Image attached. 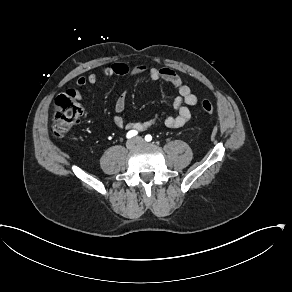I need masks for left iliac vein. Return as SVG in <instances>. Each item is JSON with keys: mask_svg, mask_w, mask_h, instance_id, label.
Returning a JSON list of instances; mask_svg holds the SVG:
<instances>
[{"mask_svg": "<svg viewBox=\"0 0 292 292\" xmlns=\"http://www.w3.org/2000/svg\"><path fill=\"white\" fill-rule=\"evenodd\" d=\"M136 140L138 142V144H143L144 143V139L141 137H136Z\"/></svg>", "mask_w": 292, "mask_h": 292, "instance_id": "4c4485c4", "label": "left iliac vein"}]
</instances>
